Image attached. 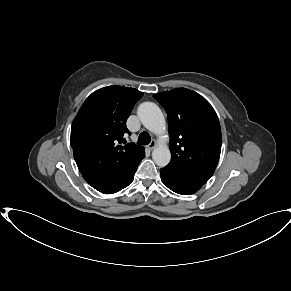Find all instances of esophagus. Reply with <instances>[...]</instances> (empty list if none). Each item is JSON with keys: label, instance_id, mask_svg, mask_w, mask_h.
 Returning a JSON list of instances; mask_svg holds the SVG:
<instances>
[{"label": "esophagus", "instance_id": "obj_1", "mask_svg": "<svg viewBox=\"0 0 291 291\" xmlns=\"http://www.w3.org/2000/svg\"><path fill=\"white\" fill-rule=\"evenodd\" d=\"M156 145H157L156 141H155V140H152V141L150 142V144L147 145V148H148L149 150H153V149L156 147Z\"/></svg>", "mask_w": 291, "mask_h": 291}]
</instances>
